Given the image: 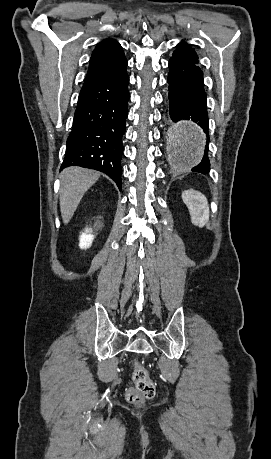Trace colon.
<instances>
[{"label": "colon", "mask_w": 271, "mask_h": 459, "mask_svg": "<svg viewBox=\"0 0 271 459\" xmlns=\"http://www.w3.org/2000/svg\"><path fill=\"white\" fill-rule=\"evenodd\" d=\"M132 380L134 385L126 393V398L129 402L139 404L154 396L155 385L150 379L147 368L143 364L139 362L134 364Z\"/></svg>", "instance_id": "obj_1"}]
</instances>
